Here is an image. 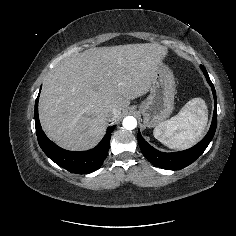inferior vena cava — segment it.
Instances as JSON below:
<instances>
[{
    "instance_id": "obj_1",
    "label": "inferior vena cava",
    "mask_w": 236,
    "mask_h": 236,
    "mask_svg": "<svg viewBox=\"0 0 236 236\" xmlns=\"http://www.w3.org/2000/svg\"><path fill=\"white\" fill-rule=\"evenodd\" d=\"M117 112H118L117 109H113V110L111 111V113L109 114V118L114 117V116L117 114Z\"/></svg>"
}]
</instances>
